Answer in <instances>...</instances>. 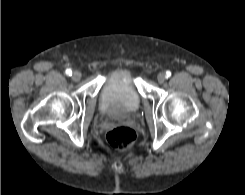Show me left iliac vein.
<instances>
[{"label":"left iliac vein","mask_w":245,"mask_h":195,"mask_svg":"<svg viewBox=\"0 0 245 195\" xmlns=\"http://www.w3.org/2000/svg\"><path fill=\"white\" fill-rule=\"evenodd\" d=\"M166 79V76L164 73H159L158 76H157V81L162 84Z\"/></svg>","instance_id":"4c4485c4"}]
</instances>
